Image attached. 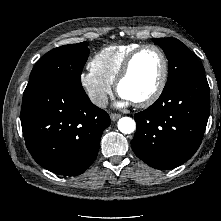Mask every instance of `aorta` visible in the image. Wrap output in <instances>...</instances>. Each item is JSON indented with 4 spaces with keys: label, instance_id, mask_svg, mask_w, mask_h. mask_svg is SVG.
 Masks as SVG:
<instances>
[{
    "label": "aorta",
    "instance_id": "aorta-1",
    "mask_svg": "<svg viewBox=\"0 0 221 221\" xmlns=\"http://www.w3.org/2000/svg\"><path fill=\"white\" fill-rule=\"evenodd\" d=\"M118 129L123 134H131L136 129L135 121L130 117H122L118 121Z\"/></svg>",
    "mask_w": 221,
    "mask_h": 221
}]
</instances>
